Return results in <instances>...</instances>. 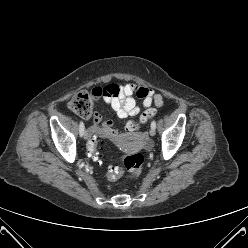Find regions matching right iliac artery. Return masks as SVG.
<instances>
[{
  "instance_id": "right-iliac-artery-1",
  "label": "right iliac artery",
  "mask_w": 248,
  "mask_h": 248,
  "mask_svg": "<svg viewBox=\"0 0 248 248\" xmlns=\"http://www.w3.org/2000/svg\"><path fill=\"white\" fill-rule=\"evenodd\" d=\"M84 131H85V126L84 123L81 121L79 125V133L81 136L84 134Z\"/></svg>"
}]
</instances>
